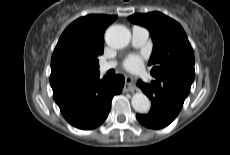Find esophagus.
I'll return each mask as SVG.
<instances>
[{
  "instance_id": "esophagus-1",
  "label": "esophagus",
  "mask_w": 230,
  "mask_h": 155,
  "mask_svg": "<svg viewBox=\"0 0 230 155\" xmlns=\"http://www.w3.org/2000/svg\"><path fill=\"white\" fill-rule=\"evenodd\" d=\"M133 82H134V78L132 76H129V75L125 76V89L127 91L134 90Z\"/></svg>"
}]
</instances>
